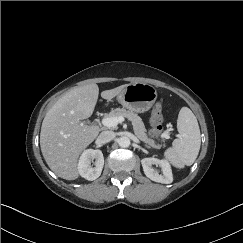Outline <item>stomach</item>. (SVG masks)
Wrapping results in <instances>:
<instances>
[{"mask_svg": "<svg viewBox=\"0 0 243 243\" xmlns=\"http://www.w3.org/2000/svg\"><path fill=\"white\" fill-rule=\"evenodd\" d=\"M157 99V90L148 83H130L117 96L118 102L135 113L148 111Z\"/></svg>", "mask_w": 243, "mask_h": 243, "instance_id": "0dacf381", "label": "stomach"}]
</instances>
